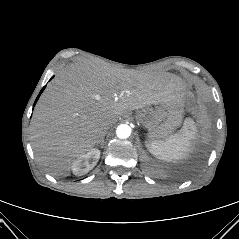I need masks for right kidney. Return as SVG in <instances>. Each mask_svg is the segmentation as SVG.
Segmentation results:
<instances>
[{
	"label": "right kidney",
	"mask_w": 239,
	"mask_h": 239,
	"mask_svg": "<svg viewBox=\"0 0 239 239\" xmlns=\"http://www.w3.org/2000/svg\"><path fill=\"white\" fill-rule=\"evenodd\" d=\"M100 158L98 149H91L85 154L80 155L72 164V171L75 175L81 176L93 169Z\"/></svg>",
	"instance_id": "ca27d5eb"
}]
</instances>
